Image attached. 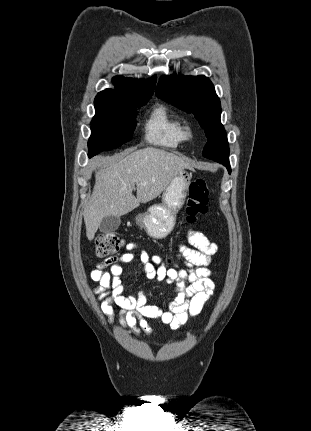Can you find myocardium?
Returning <instances> with one entry per match:
<instances>
[{"label":"myocardium","instance_id":"obj_1","mask_svg":"<svg viewBox=\"0 0 311 431\" xmlns=\"http://www.w3.org/2000/svg\"><path fill=\"white\" fill-rule=\"evenodd\" d=\"M183 131L187 139H193L198 133V127L195 123L189 122L184 125Z\"/></svg>","mask_w":311,"mask_h":431}]
</instances>
